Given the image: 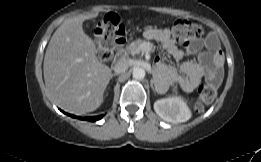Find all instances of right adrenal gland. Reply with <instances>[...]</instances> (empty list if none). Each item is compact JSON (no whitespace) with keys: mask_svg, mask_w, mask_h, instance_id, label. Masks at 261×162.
Instances as JSON below:
<instances>
[{"mask_svg":"<svg viewBox=\"0 0 261 162\" xmlns=\"http://www.w3.org/2000/svg\"><path fill=\"white\" fill-rule=\"evenodd\" d=\"M117 75H118L117 73H113V74H111L110 79H112L114 76H117Z\"/></svg>","mask_w":261,"mask_h":162,"instance_id":"2a0ac1e0","label":"right adrenal gland"}]
</instances>
